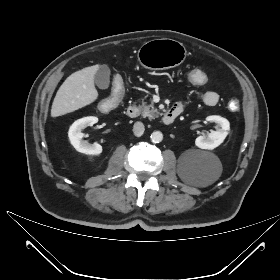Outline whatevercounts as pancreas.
<instances>
[{
  "mask_svg": "<svg viewBox=\"0 0 280 280\" xmlns=\"http://www.w3.org/2000/svg\"><path fill=\"white\" fill-rule=\"evenodd\" d=\"M139 110L143 117H148L150 120L155 119L159 115L153 103L147 104L146 102H142V104L139 105Z\"/></svg>",
  "mask_w": 280,
  "mask_h": 280,
  "instance_id": "obj_1",
  "label": "pancreas"
}]
</instances>
